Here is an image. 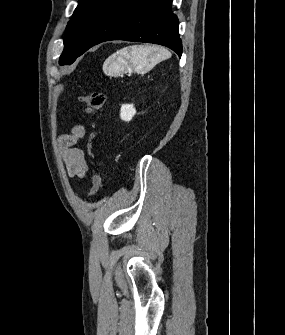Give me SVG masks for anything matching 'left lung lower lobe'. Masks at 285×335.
I'll return each instance as SVG.
<instances>
[{"mask_svg": "<svg viewBox=\"0 0 285 335\" xmlns=\"http://www.w3.org/2000/svg\"><path fill=\"white\" fill-rule=\"evenodd\" d=\"M172 0H111L98 14L81 43L80 55L109 40L155 43L179 57L182 43Z\"/></svg>", "mask_w": 285, "mask_h": 335, "instance_id": "obj_1", "label": "left lung lower lobe"}]
</instances>
